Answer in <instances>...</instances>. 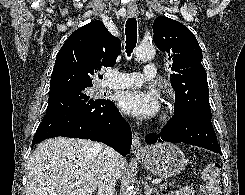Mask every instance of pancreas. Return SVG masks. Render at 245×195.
Returning <instances> with one entry per match:
<instances>
[{
  "instance_id": "cf45deb5",
  "label": "pancreas",
  "mask_w": 245,
  "mask_h": 195,
  "mask_svg": "<svg viewBox=\"0 0 245 195\" xmlns=\"http://www.w3.org/2000/svg\"><path fill=\"white\" fill-rule=\"evenodd\" d=\"M162 188L166 187V185H161Z\"/></svg>"
}]
</instances>
